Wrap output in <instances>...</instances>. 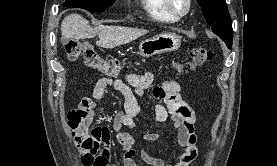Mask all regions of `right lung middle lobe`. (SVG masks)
I'll return each instance as SVG.
<instances>
[{"label": "right lung middle lobe", "mask_w": 277, "mask_h": 166, "mask_svg": "<svg viewBox=\"0 0 277 166\" xmlns=\"http://www.w3.org/2000/svg\"><path fill=\"white\" fill-rule=\"evenodd\" d=\"M114 2L115 0H66L63 6L101 12L112 6Z\"/></svg>", "instance_id": "obj_1"}]
</instances>
